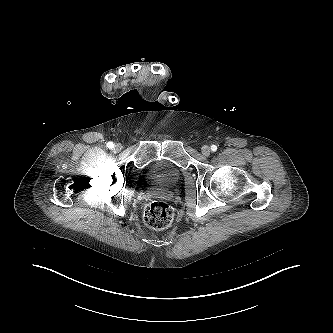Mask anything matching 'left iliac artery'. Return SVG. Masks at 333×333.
<instances>
[{"label":"left iliac artery","instance_id":"44dca946","mask_svg":"<svg viewBox=\"0 0 333 333\" xmlns=\"http://www.w3.org/2000/svg\"><path fill=\"white\" fill-rule=\"evenodd\" d=\"M211 150H212L213 152L217 151V146H216V145H212V146H211Z\"/></svg>","mask_w":333,"mask_h":333}]
</instances>
